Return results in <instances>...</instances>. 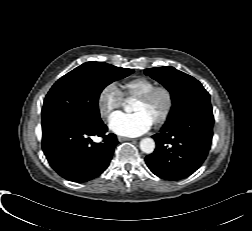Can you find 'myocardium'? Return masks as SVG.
Segmentation results:
<instances>
[{"label": "myocardium", "instance_id": "obj_1", "mask_svg": "<svg viewBox=\"0 0 252 231\" xmlns=\"http://www.w3.org/2000/svg\"><path fill=\"white\" fill-rule=\"evenodd\" d=\"M163 94L166 99L165 108L162 112V114L153 122L154 125L160 126L164 124L168 118L170 117L173 107H174V96L172 91L163 85H156L143 95H140L137 97V100L143 102V103H149L153 100V98L158 94Z\"/></svg>", "mask_w": 252, "mask_h": 231}]
</instances>
